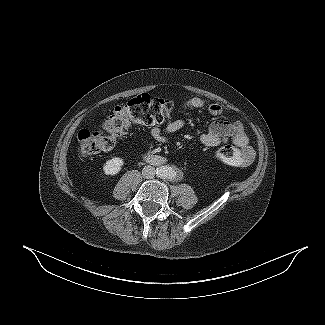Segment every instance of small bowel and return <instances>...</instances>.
<instances>
[{
  "instance_id": "obj_1",
  "label": "small bowel",
  "mask_w": 325,
  "mask_h": 325,
  "mask_svg": "<svg viewBox=\"0 0 325 325\" xmlns=\"http://www.w3.org/2000/svg\"><path fill=\"white\" fill-rule=\"evenodd\" d=\"M189 109H206L211 115L219 116L223 113V107L218 103L207 104L203 99L193 97L185 102ZM186 126L184 119H176L169 122L163 129L153 127L151 135L154 142L166 143L169 136L182 130ZM200 142L208 147H217L228 141L240 147L246 156L247 164L254 159V150L250 146L249 137L245 133L242 124L238 120H218L209 124L208 130L199 136Z\"/></svg>"
}]
</instances>
